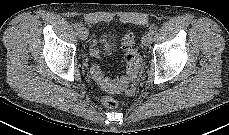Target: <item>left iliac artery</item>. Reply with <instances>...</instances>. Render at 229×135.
I'll return each mask as SVG.
<instances>
[{"mask_svg": "<svg viewBox=\"0 0 229 135\" xmlns=\"http://www.w3.org/2000/svg\"><path fill=\"white\" fill-rule=\"evenodd\" d=\"M152 35L155 34L157 32V27H154L152 29H150L149 31Z\"/></svg>", "mask_w": 229, "mask_h": 135, "instance_id": "1", "label": "left iliac artery"}]
</instances>
